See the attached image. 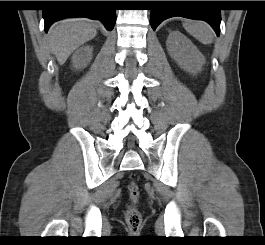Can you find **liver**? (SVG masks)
Wrapping results in <instances>:
<instances>
[{"label":"liver","instance_id":"1","mask_svg":"<svg viewBox=\"0 0 265 245\" xmlns=\"http://www.w3.org/2000/svg\"><path fill=\"white\" fill-rule=\"evenodd\" d=\"M97 34L95 23L86 18L65 19L53 24L48 32L49 47L59 64Z\"/></svg>","mask_w":265,"mask_h":245}]
</instances>
